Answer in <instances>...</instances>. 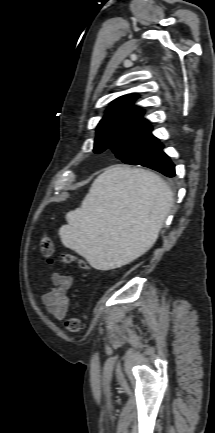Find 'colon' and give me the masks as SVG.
<instances>
[{
	"instance_id": "obj_1",
	"label": "colon",
	"mask_w": 215,
	"mask_h": 433,
	"mask_svg": "<svg viewBox=\"0 0 215 433\" xmlns=\"http://www.w3.org/2000/svg\"><path fill=\"white\" fill-rule=\"evenodd\" d=\"M40 252L48 262H52L54 256V243L50 235H41ZM61 260L65 264L76 263L80 268H88V264L84 260L77 258L73 253H64ZM83 327V320L79 317H71L65 321V330L68 333H78L83 329Z\"/></svg>"
}]
</instances>
